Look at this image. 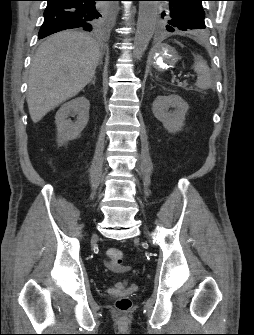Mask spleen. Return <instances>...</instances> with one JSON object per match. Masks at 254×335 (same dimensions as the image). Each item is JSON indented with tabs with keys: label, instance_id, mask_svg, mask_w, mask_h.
Here are the masks:
<instances>
[{
	"label": "spleen",
	"instance_id": "spleen-1",
	"mask_svg": "<svg viewBox=\"0 0 254 335\" xmlns=\"http://www.w3.org/2000/svg\"><path fill=\"white\" fill-rule=\"evenodd\" d=\"M195 62L193 65L194 72L197 74L196 87L201 90H206L212 87V77L210 68L205 60L200 56H194Z\"/></svg>",
	"mask_w": 254,
	"mask_h": 335
}]
</instances>
